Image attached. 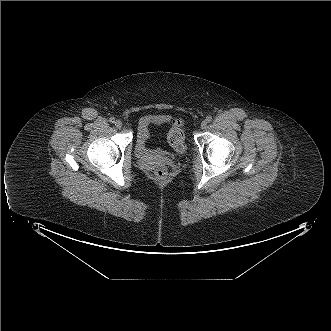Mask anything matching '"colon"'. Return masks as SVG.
<instances>
[{"mask_svg":"<svg viewBox=\"0 0 331 331\" xmlns=\"http://www.w3.org/2000/svg\"><path fill=\"white\" fill-rule=\"evenodd\" d=\"M168 142L176 150H179L184 145V133L182 122L175 121L168 133ZM155 178L158 181H165L168 177V172L164 167H157L154 171Z\"/></svg>","mask_w":331,"mask_h":331,"instance_id":"1","label":"colon"}]
</instances>
